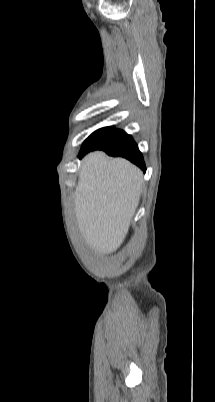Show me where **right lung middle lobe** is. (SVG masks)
Returning <instances> with one entry per match:
<instances>
[{"label":"right lung middle lobe","mask_w":215,"mask_h":402,"mask_svg":"<svg viewBox=\"0 0 215 402\" xmlns=\"http://www.w3.org/2000/svg\"><path fill=\"white\" fill-rule=\"evenodd\" d=\"M126 133L113 127H104L92 133L83 145H111L122 139Z\"/></svg>","instance_id":"obj_1"}]
</instances>
